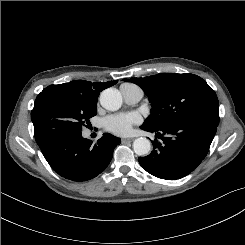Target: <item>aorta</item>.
<instances>
[{
	"label": "aorta",
	"instance_id": "762f6f07",
	"mask_svg": "<svg viewBox=\"0 0 245 245\" xmlns=\"http://www.w3.org/2000/svg\"><path fill=\"white\" fill-rule=\"evenodd\" d=\"M100 103L102 107L109 111H116L122 105V95L115 88H108L100 94ZM133 150L139 156L148 154L151 150V143L147 138L140 137L134 140Z\"/></svg>",
	"mask_w": 245,
	"mask_h": 245
}]
</instances>
